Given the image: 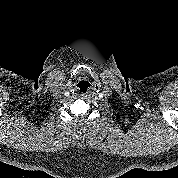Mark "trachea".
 <instances>
[{"label":"trachea","mask_w":178,"mask_h":178,"mask_svg":"<svg viewBox=\"0 0 178 178\" xmlns=\"http://www.w3.org/2000/svg\"><path fill=\"white\" fill-rule=\"evenodd\" d=\"M91 84L88 81H79L77 84V87L81 90V91H85L87 90V88L90 86Z\"/></svg>","instance_id":"3493384b"}]
</instances>
